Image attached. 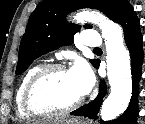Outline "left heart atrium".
Returning <instances> with one entry per match:
<instances>
[{
  "label": "left heart atrium",
  "instance_id": "obj_1",
  "mask_svg": "<svg viewBox=\"0 0 145 124\" xmlns=\"http://www.w3.org/2000/svg\"><path fill=\"white\" fill-rule=\"evenodd\" d=\"M80 96L86 95L93 86L94 78L88 66L78 61L68 71Z\"/></svg>",
  "mask_w": 145,
  "mask_h": 124
}]
</instances>
